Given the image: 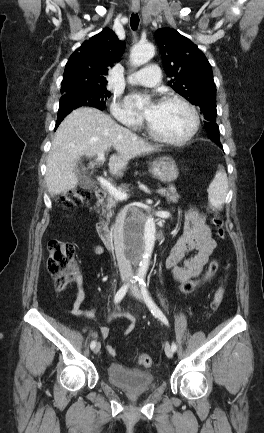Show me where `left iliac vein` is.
Masks as SVG:
<instances>
[{"mask_svg":"<svg viewBox=\"0 0 264 433\" xmlns=\"http://www.w3.org/2000/svg\"><path fill=\"white\" fill-rule=\"evenodd\" d=\"M130 291H131L132 295L135 298H137L139 300L143 299L142 295H141V293L139 291V288H138V286H137V284L135 282H132ZM165 353H166V355H167L168 358H172L173 351H172V348H171V346L169 344L165 345Z\"/></svg>","mask_w":264,"mask_h":433,"instance_id":"4c4485c4","label":"left iliac vein"}]
</instances>
